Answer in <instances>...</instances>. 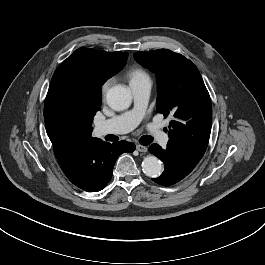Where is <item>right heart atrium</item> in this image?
<instances>
[{
  "instance_id": "d8ad5b80",
  "label": "right heart atrium",
  "mask_w": 265,
  "mask_h": 265,
  "mask_svg": "<svg viewBox=\"0 0 265 265\" xmlns=\"http://www.w3.org/2000/svg\"><path fill=\"white\" fill-rule=\"evenodd\" d=\"M109 85H110V81H107L103 84L102 86V95L104 96L109 88Z\"/></svg>"
}]
</instances>
